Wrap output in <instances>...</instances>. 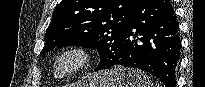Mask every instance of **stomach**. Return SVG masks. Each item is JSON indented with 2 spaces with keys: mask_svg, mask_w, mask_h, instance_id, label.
Segmentation results:
<instances>
[{
  "mask_svg": "<svg viewBox=\"0 0 205 87\" xmlns=\"http://www.w3.org/2000/svg\"><path fill=\"white\" fill-rule=\"evenodd\" d=\"M147 74L141 70L118 66L89 75L76 87H150Z\"/></svg>",
  "mask_w": 205,
  "mask_h": 87,
  "instance_id": "obj_1",
  "label": "stomach"
}]
</instances>
